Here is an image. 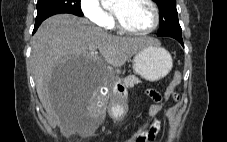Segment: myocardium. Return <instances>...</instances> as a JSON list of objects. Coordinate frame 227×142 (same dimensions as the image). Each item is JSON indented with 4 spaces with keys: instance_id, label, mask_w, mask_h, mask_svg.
<instances>
[{
    "instance_id": "1",
    "label": "myocardium",
    "mask_w": 227,
    "mask_h": 142,
    "mask_svg": "<svg viewBox=\"0 0 227 142\" xmlns=\"http://www.w3.org/2000/svg\"><path fill=\"white\" fill-rule=\"evenodd\" d=\"M146 2L150 5L153 12V22L148 28L143 30L130 29L123 24V22L121 21V19L118 17L116 13L112 12V19H113L114 26L119 31L130 35H147L152 33L154 30H156V28L160 23V11L157 3L154 0H146Z\"/></svg>"
}]
</instances>
